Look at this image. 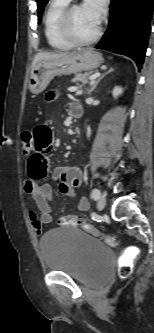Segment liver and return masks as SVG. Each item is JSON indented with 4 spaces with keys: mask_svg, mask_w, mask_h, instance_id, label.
Segmentation results:
<instances>
[{
    "mask_svg": "<svg viewBox=\"0 0 154 333\" xmlns=\"http://www.w3.org/2000/svg\"><path fill=\"white\" fill-rule=\"evenodd\" d=\"M76 52L72 53H52V52H39L34 57V60L32 62V68L40 61H49V60H55V59H61L64 57L75 55Z\"/></svg>",
    "mask_w": 154,
    "mask_h": 333,
    "instance_id": "6515ba94",
    "label": "liver"
}]
</instances>
